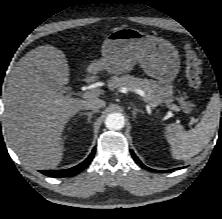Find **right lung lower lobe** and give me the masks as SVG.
I'll use <instances>...</instances> for the list:
<instances>
[{
	"label": "right lung lower lobe",
	"instance_id": "right-lung-lower-lobe-1",
	"mask_svg": "<svg viewBox=\"0 0 222 219\" xmlns=\"http://www.w3.org/2000/svg\"><path fill=\"white\" fill-rule=\"evenodd\" d=\"M95 154V148L92 150L91 154L88 156L86 160L80 163L77 166H74L69 169L64 170H41L40 172L49 177H70L78 174L82 170H84L92 161Z\"/></svg>",
	"mask_w": 222,
	"mask_h": 219
}]
</instances>
